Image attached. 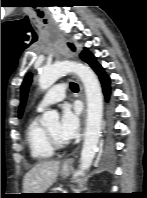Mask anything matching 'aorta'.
<instances>
[{
  "label": "aorta",
  "mask_w": 147,
  "mask_h": 198,
  "mask_svg": "<svg viewBox=\"0 0 147 198\" xmlns=\"http://www.w3.org/2000/svg\"><path fill=\"white\" fill-rule=\"evenodd\" d=\"M70 72L75 73L82 81L87 98V123L79 169V174L83 175L92 164L101 133L103 96L100 83L90 67L72 61L57 62L42 68L38 82L39 87L46 90L59 78ZM58 120L59 114L56 111L48 110L43 115L42 125L49 126Z\"/></svg>",
  "instance_id": "obj_1"
}]
</instances>
